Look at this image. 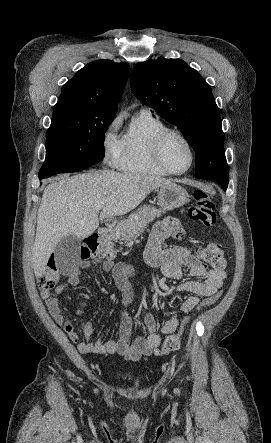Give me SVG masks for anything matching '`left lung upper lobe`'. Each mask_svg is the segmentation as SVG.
I'll use <instances>...</instances> for the list:
<instances>
[{
    "label": "left lung upper lobe",
    "instance_id": "1",
    "mask_svg": "<svg viewBox=\"0 0 271 443\" xmlns=\"http://www.w3.org/2000/svg\"><path fill=\"white\" fill-rule=\"evenodd\" d=\"M131 88L141 102L185 134L196 153L195 176L215 181L226 191L221 118L210 85L201 75L181 59L158 58L134 67Z\"/></svg>",
    "mask_w": 271,
    "mask_h": 443
}]
</instances>
